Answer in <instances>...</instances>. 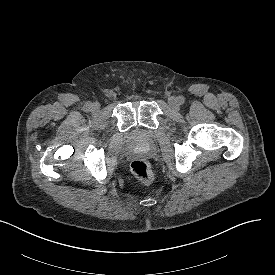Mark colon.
I'll list each match as a JSON object with an SVG mask.
<instances>
[{
  "mask_svg": "<svg viewBox=\"0 0 275 275\" xmlns=\"http://www.w3.org/2000/svg\"><path fill=\"white\" fill-rule=\"evenodd\" d=\"M131 169L133 174L143 184L148 185L153 181V171L150 164L144 159H137L132 162Z\"/></svg>",
  "mask_w": 275,
  "mask_h": 275,
  "instance_id": "obj_1",
  "label": "colon"
}]
</instances>
